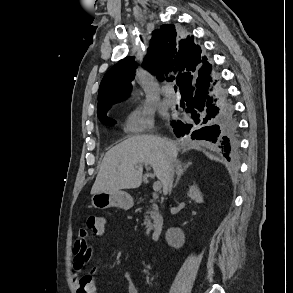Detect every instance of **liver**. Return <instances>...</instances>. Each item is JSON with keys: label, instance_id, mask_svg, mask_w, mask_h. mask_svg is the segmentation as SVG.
<instances>
[{"label": "liver", "instance_id": "liver-1", "mask_svg": "<svg viewBox=\"0 0 293 293\" xmlns=\"http://www.w3.org/2000/svg\"><path fill=\"white\" fill-rule=\"evenodd\" d=\"M177 156V146L167 139L153 135L128 138L105 154L91 194L138 188L144 164L153 168L154 175L163 184L169 165L178 162Z\"/></svg>", "mask_w": 293, "mask_h": 293}]
</instances>
